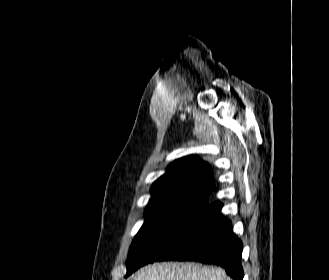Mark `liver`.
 I'll use <instances>...</instances> for the list:
<instances>
[{"label": "liver", "instance_id": "liver-1", "mask_svg": "<svg viewBox=\"0 0 329 280\" xmlns=\"http://www.w3.org/2000/svg\"><path fill=\"white\" fill-rule=\"evenodd\" d=\"M133 280H223V271L192 262H162L141 268Z\"/></svg>", "mask_w": 329, "mask_h": 280}]
</instances>
